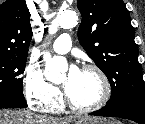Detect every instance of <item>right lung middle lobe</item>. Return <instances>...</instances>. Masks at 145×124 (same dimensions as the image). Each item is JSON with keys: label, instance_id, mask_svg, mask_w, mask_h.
Listing matches in <instances>:
<instances>
[{"label": "right lung middle lobe", "instance_id": "1", "mask_svg": "<svg viewBox=\"0 0 145 124\" xmlns=\"http://www.w3.org/2000/svg\"><path fill=\"white\" fill-rule=\"evenodd\" d=\"M27 57L0 55V92H23V77Z\"/></svg>", "mask_w": 145, "mask_h": 124}]
</instances>
